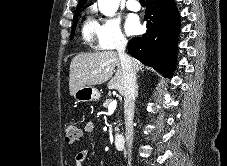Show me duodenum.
<instances>
[{
    "mask_svg": "<svg viewBox=\"0 0 227 166\" xmlns=\"http://www.w3.org/2000/svg\"><path fill=\"white\" fill-rule=\"evenodd\" d=\"M115 146L118 150H122L125 146V137L123 134H118L115 137Z\"/></svg>",
    "mask_w": 227,
    "mask_h": 166,
    "instance_id": "obj_1",
    "label": "duodenum"
}]
</instances>
